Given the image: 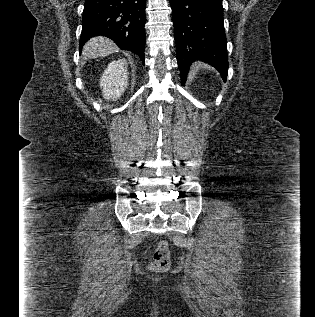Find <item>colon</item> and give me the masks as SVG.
Instances as JSON below:
<instances>
[{"instance_id": "colon-1", "label": "colon", "mask_w": 315, "mask_h": 317, "mask_svg": "<svg viewBox=\"0 0 315 317\" xmlns=\"http://www.w3.org/2000/svg\"><path fill=\"white\" fill-rule=\"evenodd\" d=\"M171 253L169 245L166 241H159L153 253V258L150 263V269L153 272H164L170 264Z\"/></svg>"}]
</instances>
